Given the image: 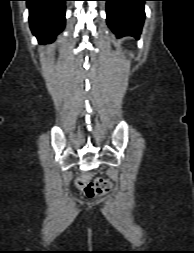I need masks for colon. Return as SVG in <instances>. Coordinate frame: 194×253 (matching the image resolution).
<instances>
[{"label":"colon","mask_w":194,"mask_h":253,"mask_svg":"<svg viewBox=\"0 0 194 253\" xmlns=\"http://www.w3.org/2000/svg\"><path fill=\"white\" fill-rule=\"evenodd\" d=\"M78 188L88 197H100L111 191L112 184L105 178H93L90 173H83L76 181Z\"/></svg>","instance_id":"obj_1"}]
</instances>
